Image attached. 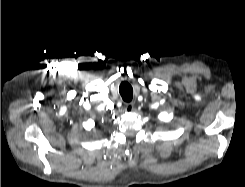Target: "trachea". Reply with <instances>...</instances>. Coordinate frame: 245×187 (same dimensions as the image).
Returning a JSON list of instances; mask_svg holds the SVG:
<instances>
[{"instance_id": "trachea-1", "label": "trachea", "mask_w": 245, "mask_h": 187, "mask_svg": "<svg viewBox=\"0 0 245 187\" xmlns=\"http://www.w3.org/2000/svg\"><path fill=\"white\" fill-rule=\"evenodd\" d=\"M119 93L125 102H130L133 98V88L128 82L120 84Z\"/></svg>"}]
</instances>
